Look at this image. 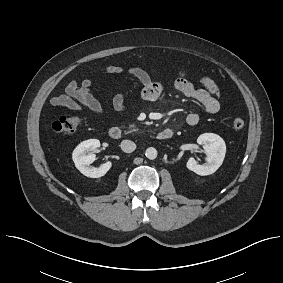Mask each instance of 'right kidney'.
<instances>
[{
  "label": "right kidney",
  "instance_id": "ca27d5eb",
  "mask_svg": "<svg viewBox=\"0 0 283 283\" xmlns=\"http://www.w3.org/2000/svg\"><path fill=\"white\" fill-rule=\"evenodd\" d=\"M98 147H100L99 140L89 139L81 142L72 153V159L76 168L83 175L90 178H99L104 176L112 166L110 161L102 164L99 168L90 166V164L95 161V154L92 151Z\"/></svg>",
  "mask_w": 283,
  "mask_h": 283
}]
</instances>
